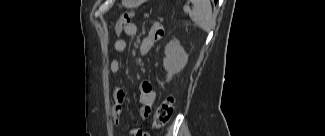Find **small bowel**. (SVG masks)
<instances>
[{
  "label": "small bowel",
  "mask_w": 325,
  "mask_h": 136,
  "mask_svg": "<svg viewBox=\"0 0 325 136\" xmlns=\"http://www.w3.org/2000/svg\"><path fill=\"white\" fill-rule=\"evenodd\" d=\"M138 32V27L135 23L131 22L127 24L120 33L117 34V38L114 41V50L118 53L125 52L127 49V41L121 38V35L127 37H135ZM164 35V28L161 24L154 25L149 34H147L141 41L139 45V51L141 54H147L151 50L152 46L159 41ZM122 61L118 58H114L110 62V70L117 74L121 71ZM126 98L125 90L122 88H117L114 93L115 106L113 108V118L115 123L120 122V117L122 113L121 104ZM155 95L152 86L148 83H142L139 86L138 101L140 104V117L143 121L148 119L151 114L152 105L154 103ZM131 133L134 136H145L146 131L141 128L131 129Z\"/></svg>",
  "instance_id": "1"
}]
</instances>
